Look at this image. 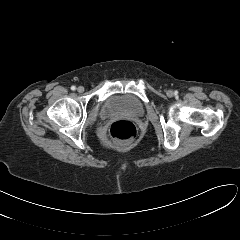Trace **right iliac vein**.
Wrapping results in <instances>:
<instances>
[{"instance_id":"obj_1","label":"right iliac vein","mask_w":240,"mask_h":240,"mask_svg":"<svg viewBox=\"0 0 240 240\" xmlns=\"http://www.w3.org/2000/svg\"><path fill=\"white\" fill-rule=\"evenodd\" d=\"M77 91H78L79 93H82V92L84 91V87L79 86V87L77 88Z\"/></svg>"}]
</instances>
